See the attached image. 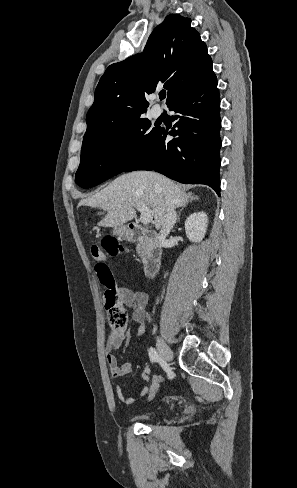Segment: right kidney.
Instances as JSON below:
<instances>
[{
    "label": "right kidney",
    "mask_w": 297,
    "mask_h": 488,
    "mask_svg": "<svg viewBox=\"0 0 297 488\" xmlns=\"http://www.w3.org/2000/svg\"><path fill=\"white\" fill-rule=\"evenodd\" d=\"M208 226V217L204 212H195L185 221V231L192 242H201L205 237Z\"/></svg>",
    "instance_id": "obj_1"
}]
</instances>
